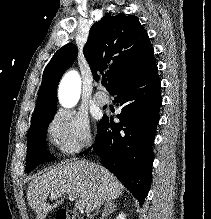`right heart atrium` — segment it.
<instances>
[{"instance_id":"obj_1","label":"right heart atrium","mask_w":211,"mask_h":219,"mask_svg":"<svg viewBox=\"0 0 211 219\" xmlns=\"http://www.w3.org/2000/svg\"><path fill=\"white\" fill-rule=\"evenodd\" d=\"M46 132L50 142L63 155H75L93 144L88 119L74 111H56Z\"/></svg>"}]
</instances>
